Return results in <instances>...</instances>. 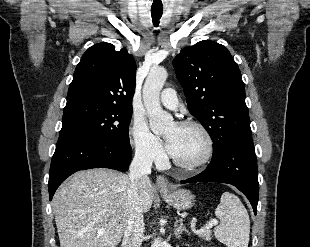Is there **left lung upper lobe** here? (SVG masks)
I'll list each match as a JSON object with an SVG mask.
<instances>
[{
    "label": "left lung upper lobe",
    "mask_w": 310,
    "mask_h": 247,
    "mask_svg": "<svg viewBox=\"0 0 310 247\" xmlns=\"http://www.w3.org/2000/svg\"><path fill=\"white\" fill-rule=\"evenodd\" d=\"M190 113L213 141V156L228 146L251 138L241 72L226 47L200 41L181 50L173 60Z\"/></svg>",
    "instance_id": "5c2ea615"
}]
</instances>
